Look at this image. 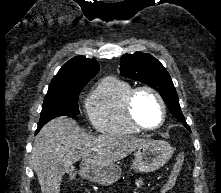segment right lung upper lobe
I'll use <instances>...</instances> for the list:
<instances>
[{
	"instance_id": "right-lung-upper-lobe-1",
	"label": "right lung upper lobe",
	"mask_w": 221,
	"mask_h": 193,
	"mask_svg": "<svg viewBox=\"0 0 221 193\" xmlns=\"http://www.w3.org/2000/svg\"><path fill=\"white\" fill-rule=\"evenodd\" d=\"M98 71L99 66L95 59L76 56L61 67L48 90L86 85Z\"/></svg>"
}]
</instances>
